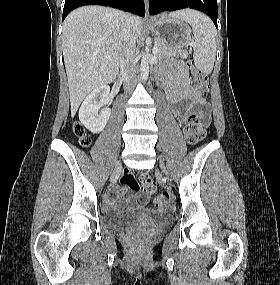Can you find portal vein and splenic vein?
<instances>
[{
    "mask_svg": "<svg viewBox=\"0 0 280 285\" xmlns=\"http://www.w3.org/2000/svg\"><path fill=\"white\" fill-rule=\"evenodd\" d=\"M158 52H159V48L155 46V47L153 48V54H157ZM105 59H106V60H109L110 57H109V56H106Z\"/></svg>",
    "mask_w": 280,
    "mask_h": 285,
    "instance_id": "1",
    "label": "portal vein and splenic vein"
}]
</instances>
